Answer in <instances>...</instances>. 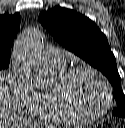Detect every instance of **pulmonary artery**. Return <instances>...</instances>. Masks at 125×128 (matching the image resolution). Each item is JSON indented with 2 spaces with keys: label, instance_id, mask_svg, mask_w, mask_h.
<instances>
[{
  "label": "pulmonary artery",
  "instance_id": "pulmonary-artery-1",
  "mask_svg": "<svg viewBox=\"0 0 125 128\" xmlns=\"http://www.w3.org/2000/svg\"><path fill=\"white\" fill-rule=\"evenodd\" d=\"M46 63L52 67H60L66 64V54L59 48H49L45 52Z\"/></svg>",
  "mask_w": 125,
  "mask_h": 128
}]
</instances>
